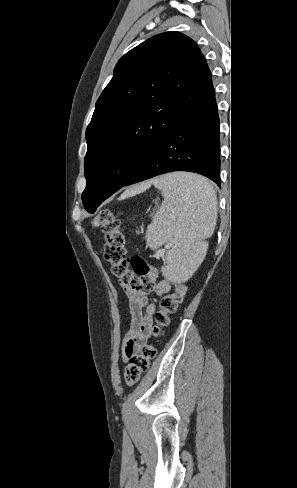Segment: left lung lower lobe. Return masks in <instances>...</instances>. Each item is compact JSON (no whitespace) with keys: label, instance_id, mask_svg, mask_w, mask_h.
Returning a JSON list of instances; mask_svg holds the SVG:
<instances>
[{"label":"left lung lower lobe","instance_id":"obj_1","mask_svg":"<svg viewBox=\"0 0 297 488\" xmlns=\"http://www.w3.org/2000/svg\"><path fill=\"white\" fill-rule=\"evenodd\" d=\"M219 117L215 96L176 126L123 186L172 172L199 173L220 186Z\"/></svg>","mask_w":297,"mask_h":488}]
</instances>
